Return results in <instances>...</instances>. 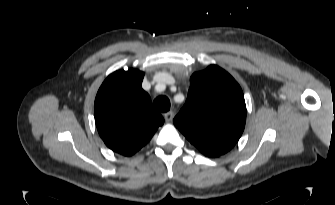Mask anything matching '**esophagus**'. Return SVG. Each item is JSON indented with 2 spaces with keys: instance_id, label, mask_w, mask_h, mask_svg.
Masks as SVG:
<instances>
[{
  "instance_id": "esophagus-1",
  "label": "esophagus",
  "mask_w": 335,
  "mask_h": 205,
  "mask_svg": "<svg viewBox=\"0 0 335 205\" xmlns=\"http://www.w3.org/2000/svg\"><path fill=\"white\" fill-rule=\"evenodd\" d=\"M173 117H174V113L172 111H169V112L164 114V119L168 123L173 120Z\"/></svg>"
}]
</instances>
